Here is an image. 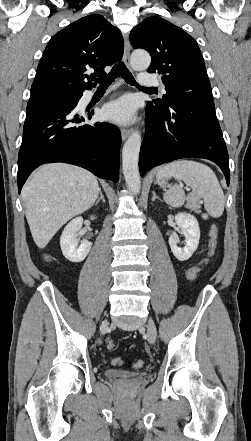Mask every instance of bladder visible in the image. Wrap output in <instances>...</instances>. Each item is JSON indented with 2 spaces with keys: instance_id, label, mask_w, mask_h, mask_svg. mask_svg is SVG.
Wrapping results in <instances>:
<instances>
[{
  "instance_id": "31cf9c89",
  "label": "bladder",
  "mask_w": 251,
  "mask_h": 441,
  "mask_svg": "<svg viewBox=\"0 0 251 441\" xmlns=\"http://www.w3.org/2000/svg\"><path fill=\"white\" fill-rule=\"evenodd\" d=\"M142 374H143L142 372H133L128 370L113 369V368L106 369L104 372V375L111 380L139 377Z\"/></svg>"
}]
</instances>
